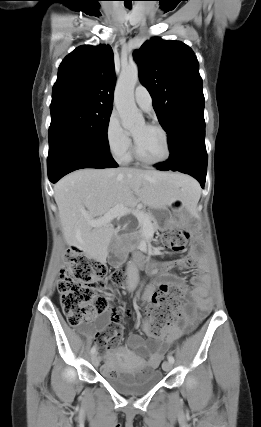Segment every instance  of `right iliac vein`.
Instances as JSON below:
<instances>
[{
  "label": "right iliac vein",
  "instance_id": "63e3f726",
  "mask_svg": "<svg viewBox=\"0 0 261 427\" xmlns=\"http://www.w3.org/2000/svg\"><path fill=\"white\" fill-rule=\"evenodd\" d=\"M91 361H92V364H93L94 366H98V365H99V358L97 357V355H96V354H93V355H92V357H91Z\"/></svg>",
  "mask_w": 261,
  "mask_h": 427
}]
</instances>
